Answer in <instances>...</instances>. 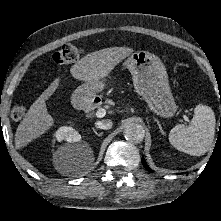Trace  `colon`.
I'll return each instance as SVG.
<instances>
[{
	"label": "colon",
	"mask_w": 221,
	"mask_h": 221,
	"mask_svg": "<svg viewBox=\"0 0 221 221\" xmlns=\"http://www.w3.org/2000/svg\"><path fill=\"white\" fill-rule=\"evenodd\" d=\"M83 54L81 47L67 43L62 45L57 51H55L50 61L58 65H67L77 62ZM25 113L23 105L16 104L11 109V118L15 121L22 119Z\"/></svg>",
	"instance_id": "obj_1"
}]
</instances>
